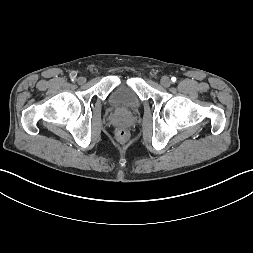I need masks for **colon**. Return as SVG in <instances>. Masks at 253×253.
<instances>
[{
	"instance_id": "1",
	"label": "colon",
	"mask_w": 253,
	"mask_h": 253,
	"mask_svg": "<svg viewBox=\"0 0 253 253\" xmlns=\"http://www.w3.org/2000/svg\"><path fill=\"white\" fill-rule=\"evenodd\" d=\"M117 137L120 139V140H125L128 138V132L125 130V129H120L118 130L117 132Z\"/></svg>"
}]
</instances>
